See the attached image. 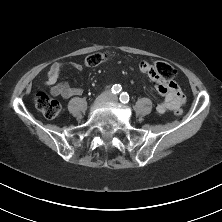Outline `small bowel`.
I'll return each instance as SVG.
<instances>
[{
    "label": "small bowel",
    "mask_w": 222,
    "mask_h": 222,
    "mask_svg": "<svg viewBox=\"0 0 222 222\" xmlns=\"http://www.w3.org/2000/svg\"><path fill=\"white\" fill-rule=\"evenodd\" d=\"M70 66L78 71L83 70V65L77 62L70 63ZM64 67V63L55 62L49 68L45 84L49 87L50 93L62 98L80 95L82 89L71 87L66 82L57 83ZM140 70L155 82L156 89L164 97L163 102L159 103L156 107L157 113L164 114L181 108L184 103V95L180 87L174 81L166 82L165 79L155 71L153 65L147 62L141 63Z\"/></svg>",
    "instance_id": "obj_1"
}]
</instances>
